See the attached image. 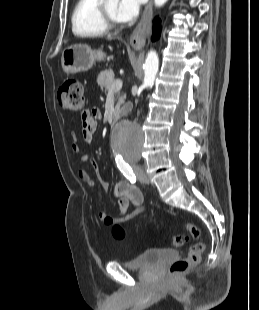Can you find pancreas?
Wrapping results in <instances>:
<instances>
[{"instance_id": "pancreas-1", "label": "pancreas", "mask_w": 259, "mask_h": 310, "mask_svg": "<svg viewBox=\"0 0 259 310\" xmlns=\"http://www.w3.org/2000/svg\"><path fill=\"white\" fill-rule=\"evenodd\" d=\"M114 73L112 71H104L100 73L97 77V84L98 86L105 91H109L112 83L114 82ZM115 95H117V104L115 106V111L113 113V117H117V114L120 111L121 105L124 104L126 95H119L118 91H113Z\"/></svg>"}]
</instances>
